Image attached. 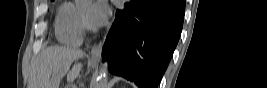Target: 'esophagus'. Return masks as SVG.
I'll return each instance as SVG.
<instances>
[{
    "label": "esophagus",
    "mask_w": 267,
    "mask_h": 88,
    "mask_svg": "<svg viewBox=\"0 0 267 88\" xmlns=\"http://www.w3.org/2000/svg\"><path fill=\"white\" fill-rule=\"evenodd\" d=\"M102 46H103V41H100L98 44H95L90 53L89 57V62L91 63H98L101 57V52H102Z\"/></svg>",
    "instance_id": "1"
}]
</instances>
